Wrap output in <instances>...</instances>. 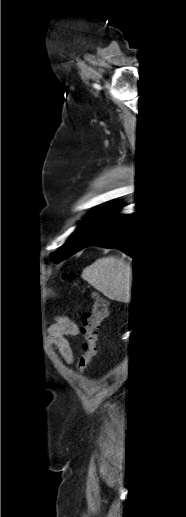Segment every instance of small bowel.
<instances>
[{
    "label": "small bowel",
    "mask_w": 186,
    "mask_h": 517,
    "mask_svg": "<svg viewBox=\"0 0 186 517\" xmlns=\"http://www.w3.org/2000/svg\"><path fill=\"white\" fill-rule=\"evenodd\" d=\"M79 334L80 330L77 324L66 317L58 318L56 323L49 328V342L54 345L64 361L68 364L73 363L74 355L67 337H77Z\"/></svg>",
    "instance_id": "c3829d8e"
}]
</instances>
